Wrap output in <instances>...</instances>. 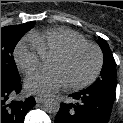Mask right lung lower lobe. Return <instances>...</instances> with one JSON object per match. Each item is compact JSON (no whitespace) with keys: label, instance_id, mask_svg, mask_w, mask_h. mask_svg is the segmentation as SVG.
<instances>
[{"label":"right lung lower lobe","instance_id":"right-lung-lower-lobe-1","mask_svg":"<svg viewBox=\"0 0 123 123\" xmlns=\"http://www.w3.org/2000/svg\"><path fill=\"white\" fill-rule=\"evenodd\" d=\"M21 91L20 80L1 76V123H23L26 113L35 105L34 97L24 101H11Z\"/></svg>","mask_w":123,"mask_h":123}]
</instances>
